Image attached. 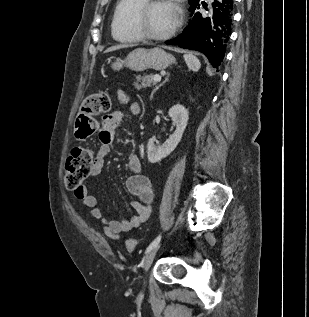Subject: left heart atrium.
<instances>
[{
	"mask_svg": "<svg viewBox=\"0 0 309 317\" xmlns=\"http://www.w3.org/2000/svg\"><path fill=\"white\" fill-rule=\"evenodd\" d=\"M171 4H172V6L174 7L175 11L178 13V7H177V5H175V4H173V3H171Z\"/></svg>",
	"mask_w": 309,
	"mask_h": 317,
	"instance_id": "39dd6f15",
	"label": "left heart atrium"
}]
</instances>
